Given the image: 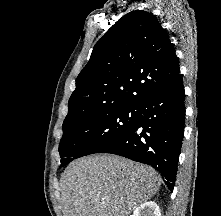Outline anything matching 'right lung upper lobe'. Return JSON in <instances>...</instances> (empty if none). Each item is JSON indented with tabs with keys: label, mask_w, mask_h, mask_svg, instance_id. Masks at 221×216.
I'll list each match as a JSON object with an SVG mask.
<instances>
[{
	"label": "right lung upper lobe",
	"mask_w": 221,
	"mask_h": 216,
	"mask_svg": "<svg viewBox=\"0 0 221 216\" xmlns=\"http://www.w3.org/2000/svg\"><path fill=\"white\" fill-rule=\"evenodd\" d=\"M179 72L174 47L156 17L132 11L94 46L63 125L108 108L139 106Z\"/></svg>",
	"instance_id": "obj_1"
}]
</instances>
